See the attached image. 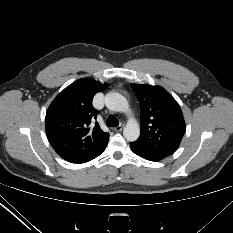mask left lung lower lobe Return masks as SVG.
<instances>
[{"mask_svg":"<svg viewBox=\"0 0 233 233\" xmlns=\"http://www.w3.org/2000/svg\"><path fill=\"white\" fill-rule=\"evenodd\" d=\"M130 148L138 156L150 161H160L168 156L166 154L149 149L138 141L130 143Z\"/></svg>","mask_w":233,"mask_h":233,"instance_id":"obj_1","label":"left lung lower lobe"}]
</instances>
